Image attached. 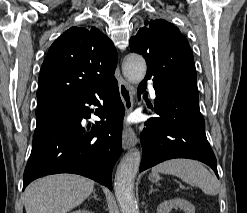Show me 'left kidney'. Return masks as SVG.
Instances as JSON below:
<instances>
[{
    "instance_id": "obj_1",
    "label": "left kidney",
    "mask_w": 247,
    "mask_h": 213,
    "mask_svg": "<svg viewBox=\"0 0 247 213\" xmlns=\"http://www.w3.org/2000/svg\"><path fill=\"white\" fill-rule=\"evenodd\" d=\"M180 208L185 213H195L193 204L184 199H172L161 203L157 207V213H169L172 209Z\"/></svg>"
}]
</instances>
